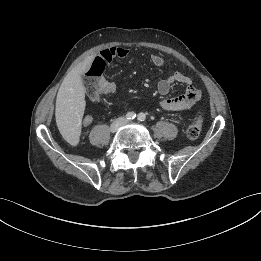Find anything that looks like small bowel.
Segmentation results:
<instances>
[{
    "label": "small bowel",
    "instance_id": "small-bowel-1",
    "mask_svg": "<svg viewBox=\"0 0 261 261\" xmlns=\"http://www.w3.org/2000/svg\"><path fill=\"white\" fill-rule=\"evenodd\" d=\"M129 55V49L122 46H114L103 49L96 59L106 63H110L117 58H125ZM151 63L157 68H164V59L157 54H153L150 57ZM174 83H181L184 85V89L181 93L176 95H168L171 86ZM105 94L114 92L115 85L112 82L104 80ZM157 89L164 97L160 101V107L168 112L186 111L194 107L201 98L200 91L192 84L191 79L181 72H173L165 78L159 80ZM93 122V118L90 115H86L82 124L84 127L90 126Z\"/></svg>",
    "mask_w": 261,
    "mask_h": 261
}]
</instances>
